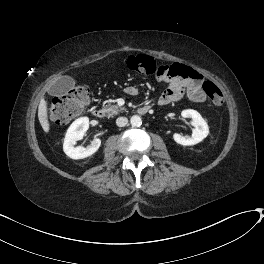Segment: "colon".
I'll list each match as a JSON object with an SVG mask.
<instances>
[{
  "mask_svg": "<svg viewBox=\"0 0 264 264\" xmlns=\"http://www.w3.org/2000/svg\"><path fill=\"white\" fill-rule=\"evenodd\" d=\"M124 65L135 72L146 75H156L159 78L171 75V67L159 65L150 56L131 55L124 59ZM203 91L210 102L219 106L223 103V94L220 88L212 81L207 80L202 85ZM90 101V90L86 85H77L64 97L47 100V111L50 118L58 124H65L80 116Z\"/></svg>",
  "mask_w": 264,
  "mask_h": 264,
  "instance_id": "1",
  "label": "colon"
}]
</instances>
